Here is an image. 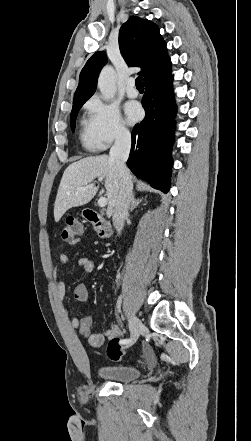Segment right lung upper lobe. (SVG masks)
Wrapping results in <instances>:
<instances>
[{
    "label": "right lung upper lobe",
    "instance_id": "cb5924a9",
    "mask_svg": "<svg viewBox=\"0 0 251 441\" xmlns=\"http://www.w3.org/2000/svg\"><path fill=\"white\" fill-rule=\"evenodd\" d=\"M119 48L129 66L142 69L139 74L144 81L171 66L166 42L157 25L149 20L131 16L120 28ZM106 62L103 51L96 52L88 59L80 73L73 102L88 100L94 94L98 75Z\"/></svg>",
    "mask_w": 251,
    "mask_h": 441
}]
</instances>
